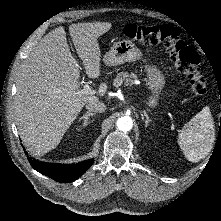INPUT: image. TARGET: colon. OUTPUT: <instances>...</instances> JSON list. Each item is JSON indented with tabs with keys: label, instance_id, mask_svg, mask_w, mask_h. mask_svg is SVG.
I'll return each instance as SVG.
<instances>
[{
	"label": "colon",
	"instance_id": "obj_1",
	"mask_svg": "<svg viewBox=\"0 0 221 221\" xmlns=\"http://www.w3.org/2000/svg\"><path fill=\"white\" fill-rule=\"evenodd\" d=\"M123 32L127 38L143 45H164L177 69L187 80L192 93L198 96L206 93L207 85L201 72L199 57L180 38L178 29L171 25L128 24L124 27Z\"/></svg>",
	"mask_w": 221,
	"mask_h": 221
}]
</instances>
